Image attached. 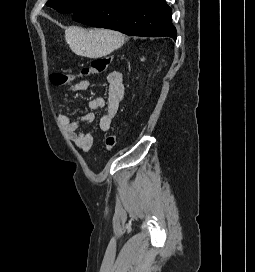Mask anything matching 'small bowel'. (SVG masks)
<instances>
[{
    "label": "small bowel",
    "mask_w": 255,
    "mask_h": 272,
    "mask_svg": "<svg viewBox=\"0 0 255 272\" xmlns=\"http://www.w3.org/2000/svg\"><path fill=\"white\" fill-rule=\"evenodd\" d=\"M88 79H81L71 87L73 93L81 92L89 87ZM108 95L104 99L97 97L89 102V107L92 110L104 109L103 115L98 121V126L101 131H108L112 121L124 98V83L123 75L120 71H111L107 76ZM95 116L92 112L85 114L78 120H72L68 115H59V121L65 133L72 143L81 151L88 152L93 144V136L90 132L81 129V123L92 122Z\"/></svg>",
    "instance_id": "small-bowel-1"
}]
</instances>
